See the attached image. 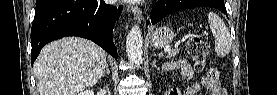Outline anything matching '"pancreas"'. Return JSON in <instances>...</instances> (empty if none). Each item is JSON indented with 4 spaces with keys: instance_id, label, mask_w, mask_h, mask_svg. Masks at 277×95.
I'll return each mask as SVG.
<instances>
[{
    "instance_id": "obj_1",
    "label": "pancreas",
    "mask_w": 277,
    "mask_h": 95,
    "mask_svg": "<svg viewBox=\"0 0 277 95\" xmlns=\"http://www.w3.org/2000/svg\"><path fill=\"white\" fill-rule=\"evenodd\" d=\"M178 53H179V50H178V49H172V50L168 51V53H167V58H168V59H172V58H174Z\"/></svg>"
}]
</instances>
